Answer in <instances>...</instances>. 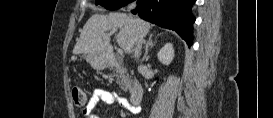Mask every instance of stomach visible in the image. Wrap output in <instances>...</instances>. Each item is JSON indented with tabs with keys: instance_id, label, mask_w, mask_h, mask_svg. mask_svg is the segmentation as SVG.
I'll list each match as a JSON object with an SVG mask.
<instances>
[{
	"instance_id": "0dacf381",
	"label": "stomach",
	"mask_w": 273,
	"mask_h": 118,
	"mask_svg": "<svg viewBox=\"0 0 273 118\" xmlns=\"http://www.w3.org/2000/svg\"><path fill=\"white\" fill-rule=\"evenodd\" d=\"M86 60L95 70H103L108 65V58L104 52L88 54Z\"/></svg>"
}]
</instances>
